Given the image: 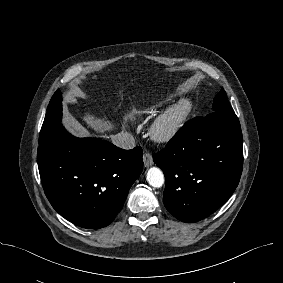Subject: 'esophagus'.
Listing matches in <instances>:
<instances>
[{"mask_svg": "<svg viewBox=\"0 0 283 283\" xmlns=\"http://www.w3.org/2000/svg\"><path fill=\"white\" fill-rule=\"evenodd\" d=\"M143 163L145 167H149L153 165V158L149 152L144 153L143 155Z\"/></svg>", "mask_w": 283, "mask_h": 283, "instance_id": "34e87169", "label": "esophagus"}]
</instances>
